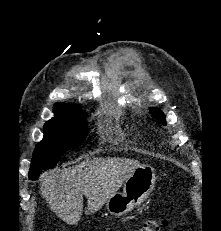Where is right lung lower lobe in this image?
<instances>
[{"instance_id": "right-lung-lower-lobe-1", "label": "right lung lower lobe", "mask_w": 221, "mask_h": 231, "mask_svg": "<svg viewBox=\"0 0 221 231\" xmlns=\"http://www.w3.org/2000/svg\"><path fill=\"white\" fill-rule=\"evenodd\" d=\"M40 173L36 172H29V178L30 179H36Z\"/></svg>"}]
</instances>
